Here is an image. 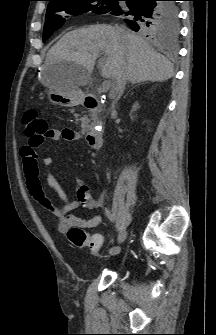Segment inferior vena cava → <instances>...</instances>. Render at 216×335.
<instances>
[{
	"mask_svg": "<svg viewBox=\"0 0 216 335\" xmlns=\"http://www.w3.org/2000/svg\"><path fill=\"white\" fill-rule=\"evenodd\" d=\"M116 28H117V30L120 34L125 33V29L123 27H116ZM126 81H127V77H125V76H123L121 79L118 80V83H117L118 96H117L116 100L114 101V103L112 105V110L113 111H114V107H115V102H117L123 94V91H124L125 85H126Z\"/></svg>",
	"mask_w": 216,
	"mask_h": 335,
	"instance_id": "1",
	"label": "inferior vena cava"
}]
</instances>
